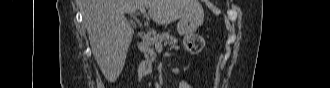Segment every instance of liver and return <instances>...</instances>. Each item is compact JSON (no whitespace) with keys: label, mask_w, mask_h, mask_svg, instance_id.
<instances>
[{"label":"liver","mask_w":330,"mask_h":88,"mask_svg":"<svg viewBox=\"0 0 330 88\" xmlns=\"http://www.w3.org/2000/svg\"><path fill=\"white\" fill-rule=\"evenodd\" d=\"M146 8L156 24H168L202 10L197 0H83L92 53L108 81L114 82L120 75L134 35L124 13Z\"/></svg>","instance_id":"1"}]
</instances>
